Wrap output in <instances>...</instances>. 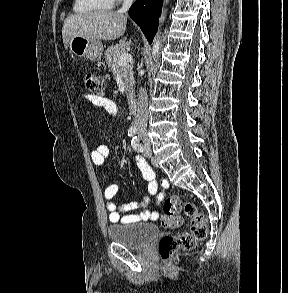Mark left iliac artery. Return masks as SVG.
<instances>
[{"instance_id": "left-iliac-artery-1", "label": "left iliac artery", "mask_w": 288, "mask_h": 293, "mask_svg": "<svg viewBox=\"0 0 288 293\" xmlns=\"http://www.w3.org/2000/svg\"><path fill=\"white\" fill-rule=\"evenodd\" d=\"M131 145H132L133 149L138 151V152H143L144 151V147L139 143V138L137 136H135L132 139Z\"/></svg>"}]
</instances>
